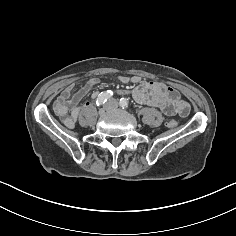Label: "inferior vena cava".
I'll list each match as a JSON object with an SVG mask.
<instances>
[{"label":"inferior vena cava","instance_id":"1","mask_svg":"<svg viewBox=\"0 0 236 236\" xmlns=\"http://www.w3.org/2000/svg\"><path fill=\"white\" fill-rule=\"evenodd\" d=\"M104 107L108 111H113L118 107V101L114 98H111L105 103Z\"/></svg>","mask_w":236,"mask_h":236}]
</instances>
